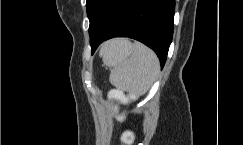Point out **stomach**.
Masks as SVG:
<instances>
[{"instance_id": "stomach-1", "label": "stomach", "mask_w": 243, "mask_h": 145, "mask_svg": "<svg viewBox=\"0 0 243 145\" xmlns=\"http://www.w3.org/2000/svg\"><path fill=\"white\" fill-rule=\"evenodd\" d=\"M107 53L113 61L127 58L131 54V43L124 39L113 40L101 49L100 55L104 58Z\"/></svg>"}]
</instances>
